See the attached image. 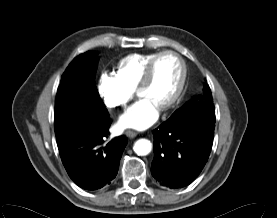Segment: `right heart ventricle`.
Here are the masks:
<instances>
[{
  "label": "right heart ventricle",
  "mask_w": 277,
  "mask_h": 218,
  "mask_svg": "<svg viewBox=\"0 0 277 218\" xmlns=\"http://www.w3.org/2000/svg\"><path fill=\"white\" fill-rule=\"evenodd\" d=\"M157 52L133 53L120 60L119 76L133 89H136L142 79L147 65Z\"/></svg>",
  "instance_id": "obj_1"
}]
</instances>
